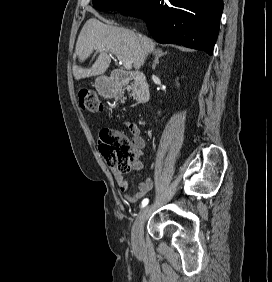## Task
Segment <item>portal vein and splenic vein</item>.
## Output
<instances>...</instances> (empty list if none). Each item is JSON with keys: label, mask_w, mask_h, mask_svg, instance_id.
<instances>
[{"label": "portal vein and splenic vein", "mask_w": 272, "mask_h": 282, "mask_svg": "<svg viewBox=\"0 0 272 282\" xmlns=\"http://www.w3.org/2000/svg\"><path fill=\"white\" fill-rule=\"evenodd\" d=\"M117 59L119 60L120 63L124 65L126 69H131L132 68V63L128 60H125L122 56L116 54Z\"/></svg>", "instance_id": "18ae733b"}]
</instances>
